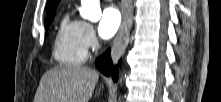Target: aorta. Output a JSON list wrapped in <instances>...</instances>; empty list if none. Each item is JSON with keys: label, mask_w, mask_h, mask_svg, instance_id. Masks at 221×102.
Returning <instances> with one entry per match:
<instances>
[{"label": "aorta", "mask_w": 221, "mask_h": 102, "mask_svg": "<svg viewBox=\"0 0 221 102\" xmlns=\"http://www.w3.org/2000/svg\"><path fill=\"white\" fill-rule=\"evenodd\" d=\"M80 15L92 22L98 21L101 18L100 0H81Z\"/></svg>", "instance_id": "1"}]
</instances>
